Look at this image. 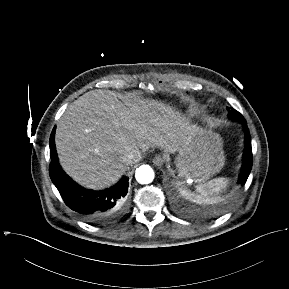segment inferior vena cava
<instances>
[{
	"label": "inferior vena cava",
	"instance_id": "inferior-vena-cava-1",
	"mask_svg": "<svg viewBox=\"0 0 289 289\" xmlns=\"http://www.w3.org/2000/svg\"><path fill=\"white\" fill-rule=\"evenodd\" d=\"M147 149H143V150H133L130 153H128L125 157V160L130 162V163H134V162H138L142 159V155L143 153L146 151Z\"/></svg>",
	"mask_w": 289,
	"mask_h": 289
}]
</instances>
